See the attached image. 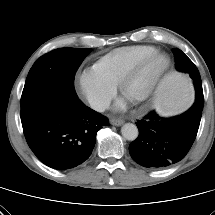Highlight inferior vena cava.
<instances>
[{"label": "inferior vena cava", "instance_id": "1", "mask_svg": "<svg viewBox=\"0 0 215 215\" xmlns=\"http://www.w3.org/2000/svg\"><path fill=\"white\" fill-rule=\"evenodd\" d=\"M110 103H111V102H110L109 99H99V100H96V101L92 104V107H93L96 111L103 112V111H105L106 109L109 108Z\"/></svg>", "mask_w": 215, "mask_h": 215}]
</instances>
